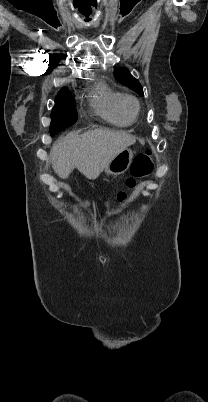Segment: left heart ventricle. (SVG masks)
<instances>
[{
  "instance_id": "b2bd125f",
  "label": "left heart ventricle",
  "mask_w": 208,
  "mask_h": 402,
  "mask_svg": "<svg viewBox=\"0 0 208 402\" xmlns=\"http://www.w3.org/2000/svg\"><path fill=\"white\" fill-rule=\"evenodd\" d=\"M127 106H128V108H129L130 110H132V111L135 109L134 104H133L132 102H130V101L127 102Z\"/></svg>"
}]
</instances>
